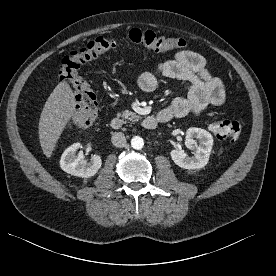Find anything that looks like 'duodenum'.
<instances>
[{"label": "duodenum", "instance_id": "obj_1", "mask_svg": "<svg viewBox=\"0 0 276 276\" xmlns=\"http://www.w3.org/2000/svg\"><path fill=\"white\" fill-rule=\"evenodd\" d=\"M167 121H169V118L159 113L157 116L145 117L142 120V126L145 129L152 130L155 129L159 123H165ZM123 124V120L119 117H114L110 122V126L113 130H120L123 127Z\"/></svg>", "mask_w": 276, "mask_h": 276}]
</instances>
